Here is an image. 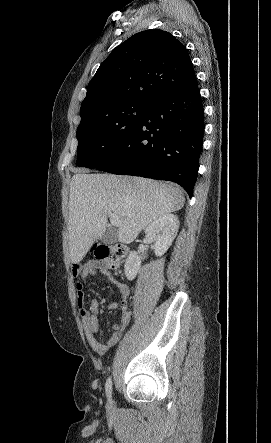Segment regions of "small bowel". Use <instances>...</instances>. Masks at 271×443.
Here are the masks:
<instances>
[{
    "label": "small bowel",
    "instance_id": "obj_1",
    "mask_svg": "<svg viewBox=\"0 0 271 443\" xmlns=\"http://www.w3.org/2000/svg\"><path fill=\"white\" fill-rule=\"evenodd\" d=\"M97 270L114 283L120 290L121 294L119 301H111L107 305L110 310L120 309V315L117 321L112 324V334L103 341L98 339L100 333V324L98 320L99 302L96 299H91L89 302V308L85 307V294L83 291V285L80 282L77 285V305L88 344L95 352L105 353L120 340L125 328L132 318V312L128 310V302L131 292L127 284L116 280L111 272L97 261H90L83 266L74 264L72 266V275L85 280L95 275Z\"/></svg>",
    "mask_w": 271,
    "mask_h": 443
}]
</instances>
